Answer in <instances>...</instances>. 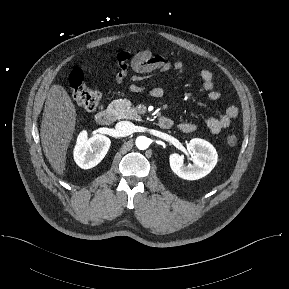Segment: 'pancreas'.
<instances>
[{
  "mask_svg": "<svg viewBox=\"0 0 289 289\" xmlns=\"http://www.w3.org/2000/svg\"><path fill=\"white\" fill-rule=\"evenodd\" d=\"M108 109L116 117V119L137 120L140 118L136 108L127 99L113 100L109 104Z\"/></svg>",
  "mask_w": 289,
  "mask_h": 289,
  "instance_id": "obj_1",
  "label": "pancreas"
}]
</instances>
